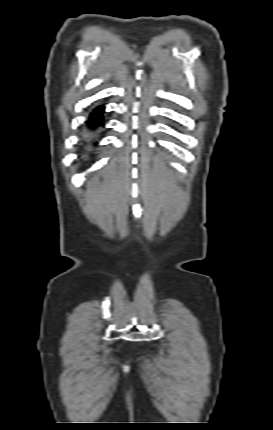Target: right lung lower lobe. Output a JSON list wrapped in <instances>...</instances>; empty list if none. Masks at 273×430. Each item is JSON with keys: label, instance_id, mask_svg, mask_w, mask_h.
<instances>
[{"label": "right lung lower lobe", "instance_id": "obj_1", "mask_svg": "<svg viewBox=\"0 0 273 430\" xmlns=\"http://www.w3.org/2000/svg\"><path fill=\"white\" fill-rule=\"evenodd\" d=\"M104 107L99 106L93 110L88 121L86 122L85 129L82 134V140L85 145V153L98 144L96 140L97 131L104 125L103 118Z\"/></svg>", "mask_w": 273, "mask_h": 430}]
</instances>
